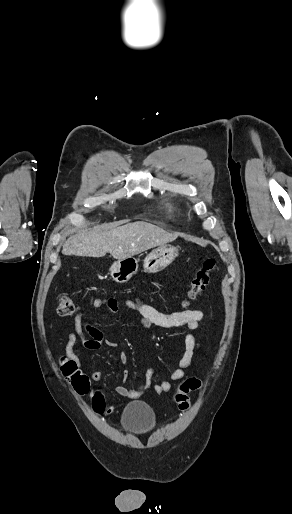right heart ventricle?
<instances>
[{
	"mask_svg": "<svg viewBox=\"0 0 292 514\" xmlns=\"http://www.w3.org/2000/svg\"><path fill=\"white\" fill-rule=\"evenodd\" d=\"M161 205L166 215L170 218L174 217L179 210V203L173 197L163 198Z\"/></svg>",
	"mask_w": 292,
	"mask_h": 514,
	"instance_id": "right-heart-ventricle-1",
	"label": "right heart ventricle"
}]
</instances>
